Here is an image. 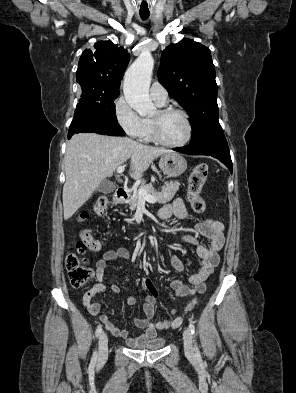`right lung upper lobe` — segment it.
Masks as SVG:
<instances>
[{
    "mask_svg": "<svg viewBox=\"0 0 296 393\" xmlns=\"http://www.w3.org/2000/svg\"><path fill=\"white\" fill-rule=\"evenodd\" d=\"M95 50H84L76 72L77 82L83 90L98 93L119 92L121 79L130 55L112 41H99Z\"/></svg>",
    "mask_w": 296,
    "mask_h": 393,
    "instance_id": "cb5924a9",
    "label": "right lung upper lobe"
}]
</instances>
